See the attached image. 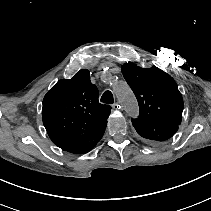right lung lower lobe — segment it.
I'll return each mask as SVG.
<instances>
[{
	"mask_svg": "<svg viewBox=\"0 0 211 211\" xmlns=\"http://www.w3.org/2000/svg\"><path fill=\"white\" fill-rule=\"evenodd\" d=\"M99 142V141H98ZM98 142H92L88 145H85V146H82V147H78V148H75L71 151H68V152H71V153H75V154H83V153H86L88 151H90L92 148H94V146L98 143Z\"/></svg>",
	"mask_w": 211,
	"mask_h": 211,
	"instance_id": "1",
	"label": "right lung lower lobe"
}]
</instances>
